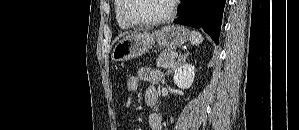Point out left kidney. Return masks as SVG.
<instances>
[{"label": "left kidney", "mask_w": 299, "mask_h": 130, "mask_svg": "<svg viewBox=\"0 0 299 130\" xmlns=\"http://www.w3.org/2000/svg\"><path fill=\"white\" fill-rule=\"evenodd\" d=\"M195 67L190 64L180 65L175 69L174 83L181 89H189L194 82Z\"/></svg>", "instance_id": "5707ae66"}]
</instances>
